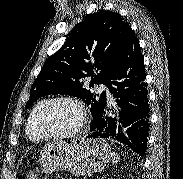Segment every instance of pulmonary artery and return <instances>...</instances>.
<instances>
[{
	"instance_id": "pulmonary-artery-1",
	"label": "pulmonary artery",
	"mask_w": 183,
	"mask_h": 179,
	"mask_svg": "<svg viewBox=\"0 0 183 179\" xmlns=\"http://www.w3.org/2000/svg\"><path fill=\"white\" fill-rule=\"evenodd\" d=\"M99 91H105L108 100H109V101H113L112 94H111V92L109 91V89H108V87H107L106 85H100Z\"/></svg>"
}]
</instances>
